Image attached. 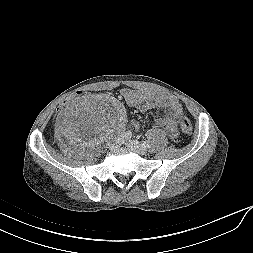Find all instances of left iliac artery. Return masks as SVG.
<instances>
[{"mask_svg": "<svg viewBox=\"0 0 253 253\" xmlns=\"http://www.w3.org/2000/svg\"><path fill=\"white\" fill-rule=\"evenodd\" d=\"M142 145H143L144 147H149V142H144Z\"/></svg>", "mask_w": 253, "mask_h": 253, "instance_id": "1", "label": "left iliac artery"}]
</instances>
